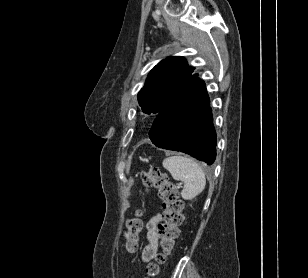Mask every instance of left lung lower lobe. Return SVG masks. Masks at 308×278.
<instances>
[{
  "label": "left lung lower lobe",
  "instance_id": "obj_1",
  "mask_svg": "<svg viewBox=\"0 0 308 278\" xmlns=\"http://www.w3.org/2000/svg\"><path fill=\"white\" fill-rule=\"evenodd\" d=\"M212 121L205 83L194 74L157 114L150 139L160 148L181 151L211 165L217 143Z\"/></svg>",
  "mask_w": 308,
  "mask_h": 278
}]
</instances>
